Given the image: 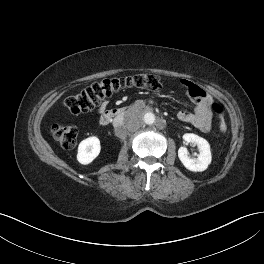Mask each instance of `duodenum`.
I'll return each mask as SVG.
<instances>
[{
    "instance_id": "obj_1",
    "label": "duodenum",
    "mask_w": 264,
    "mask_h": 264,
    "mask_svg": "<svg viewBox=\"0 0 264 264\" xmlns=\"http://www.w3.org/2000/svg\"><path fill=\"white\" fill-rule=\"evenodd\" d=\"M126 110L127 109L125 107H114L105 111L100 117V124H109L114 119V117L122 116L126 112ZM158 121H160V118H158Z\"/></svg>"
}]
</instances>
